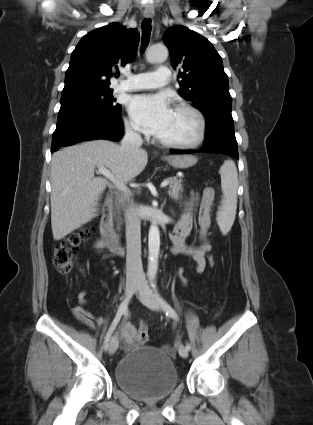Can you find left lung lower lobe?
Masks as SVG:
<instances>
[{
	"label": "left lung lower lobe",
	"mask_w": 313,
	"mask_h": 425,
	"mask_svg": "<svg viewBox=\"0 0 313 425\" xmlns=\"http://www.w3.org/2000/svg\"><path fill=\"white\" fill-rule=\"evenodd\" d=\"M201 151H212L227 155H233L238 159V146L234 134L233 119L217 118L206 122L204 145ZM172 153L190 154L195 150H174Z\"/></svg>",
	"instance_id": "obj_1"
}]
</instances>
